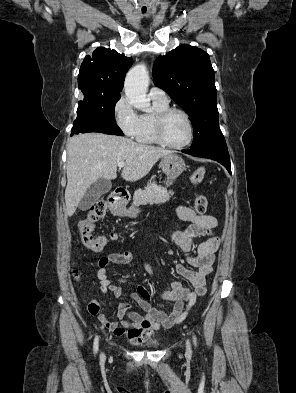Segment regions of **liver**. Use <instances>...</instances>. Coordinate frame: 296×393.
Here are the masks:
<instances>
[{
    "label": "liver",
    "mask_w": 296,
    "mask_h": 393,
    "mask_svg": "<svg viewBox=\"0 0 296 393\" xmlns=\"http://www.w3.org/2000/svg\"><path fill=\"white\" fill-rule=\"evenodd\" d=\"M169 154L172 151L115 135L86 133L72 137L67 145V215L75 213L87 189L95 181L117 177L119 162H125L122 178L137 181L146 176L160 158Z\"/></svg>",
    "instance_id": "6515ba94"
}]
</instances>
